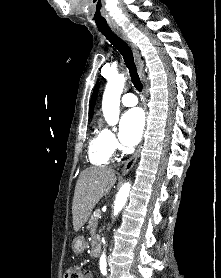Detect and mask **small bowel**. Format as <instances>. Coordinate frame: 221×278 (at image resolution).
Returning a JSON list of instances; mask_svg holds the SVG:
<instances>
[{
  "label": "small bowel",
  "mask_w": 221,
  "mask_h": 278,
  "mask_svg": "<svg viewBox=\"0 0 221 278\" xmlns=\"http://www.w3.org/2000/svg\"><path fill=\"white\" fill-rule=\"evenodd\" d=\"M84 278H93V275L89 270H86L84 271Z\"/></svg>",
  "instance_id": "obj_1"
}]
</instances>
